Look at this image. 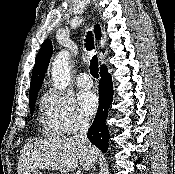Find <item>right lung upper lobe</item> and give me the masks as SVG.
<instances>
[{
	"label": "right lung upper lobe",
	"mask_w": 175,
	"mask_h": 174,
	"mask_svg": "<svg viewBox=\"0 0 175 174\" xmlns=\"http://www.w3.org/2000/svg\"><path fill=\"white\" fill-rule=\"evenodd\" d=\"M96 38H101V30L97 25L95 29ZM52 54V42L47 40L44 42L36 56L35 65L32 72L31 84H30V97L29 100L36 98V94L42 86V82L45 73L48 68L49 60Z\"/></svg>",
	"instance_id": "obj_1"
}]
</instances>
